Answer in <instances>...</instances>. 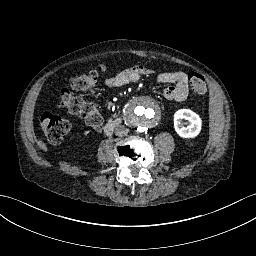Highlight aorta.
Returning <instances> with one entry per match:
<instances>
[{"label": "aorta", "instance_id": "aorta-1", "mask_svg": "<svg viewBox=\"0 0 256 256\" xmlns=\"http://www.w3.org/2000/svg\"><path fill=\"white\" fill-rule=\"evenodd\" d=\"M125 118L131 128L139 132H148L158 126L162 118V109L156 99L148 95H139L129 101L125 109Z\"/></svg>", "mask_w": 256, "mask_h": 256}]
</instances>
